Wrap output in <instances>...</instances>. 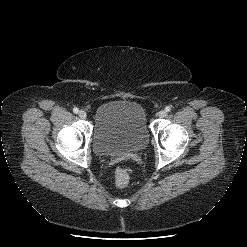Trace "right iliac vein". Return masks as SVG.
I'll use <instances>...</instances> for the list:
<instances>
[{
  "instance_id": "1",
  "label": "right iliac vein",
  "mask_w": 247,
  "mask_h": 247,
  "mask_svg": "<svg viewBox=\"0 0 247 247\" xmlns=\"http://www.w3.org/2000/svg\"><path fill=\"white\" fill-rule=\"evenodd\" d=\"M78 115L81 119H85L87 117V113L84 110H80Z\"/></svg>"
}]
</instances>
